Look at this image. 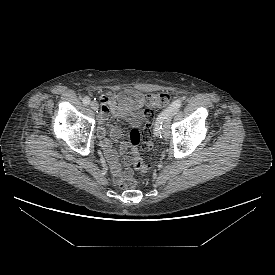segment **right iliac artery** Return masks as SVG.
<instances>
[{
	"instance_id": "82829eb1",
	"label": "right iliac artery",
	"mask_w": 275,
	"mask_h": 275,
	"mask_svg": "<svg viewBox=\"0 0 275 275\" xmlns=\"http://www.w3.org/2000/svg\"><path fill=\"white\" fill-rule=\"evenodd\" d=\"M82 101L85 105H88L90 103V98L86 96V97L83 98Z\"/></svg>"
}]
</instances>
